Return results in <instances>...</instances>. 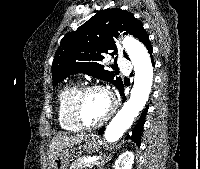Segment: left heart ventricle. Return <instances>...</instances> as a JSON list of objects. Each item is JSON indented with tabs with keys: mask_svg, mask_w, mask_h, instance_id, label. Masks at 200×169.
<instances>
[{
	"mask_svg": "<svg viewBox=\"0 0 200 169\" xmlns=\"http://www.w3.org/2000/svg\"><path fill=\"white\" fill-rule=\"evenodd\" d=\"M110 102L106 94L100 91L88 93L81 105V116L85 124L91 125L100 121L108 112Z\"/></svg>",
	"mask_w": 200,
	"mask_h": 169,
	"instance_id": "left-heart-ventricle-1",
	"label": "left heart ventricle"
}]
</instances>
